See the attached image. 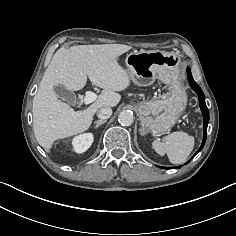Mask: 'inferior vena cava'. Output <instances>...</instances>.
Here are the masks:
<instances>
[{
  "label": "inferior vena cava",
  "instance_id": "inferior-vena-cava-1",
  "mask_svg": "<svg viewBox=\"0 0 236 236\" xmlns=\"http://www.w3.org/2000/svg\"><path fill=\"white\" fill-rule=\"evenodd\" d=\"M112 115V109L110 107H102L97 111V116L100 119H108Z\"/></svg>",
  "mask_w": 236,
  "mask_h": 236
}]
</instances>
